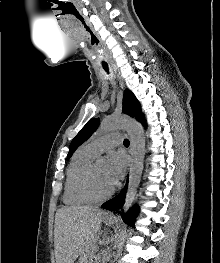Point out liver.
I'll return each instance as SVG.
<instances>
[{
    "label": "liver",
    "mask_w": 220,
    "mask_h": 263,
    "mask_svg": "<svg viewBox=\"0 0 220 263\" xmlns=\"http://www.w3.org/2000/svg\"><path fill=\"white\" fill-rule=\"evenodd\" d=\"M102 211L93 206L61 207L55 215L54 251L56 263H81L90 259L87 252L101 229Z\"/></svg>",
    "instance_id": "1"
}]
</instances>
